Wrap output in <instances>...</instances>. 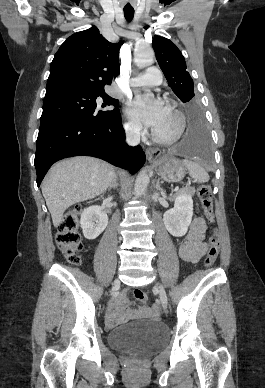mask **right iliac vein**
I'll return each mask as SVG.
<instances>
[{
  "mask_svg": "<svg viewBox=\"0 0 265 388\" xmlns=\"http://www.w3.org/2000/svg\"><path fill=\"white\" fill-rule=\"evenodd\" d=\"M118 284H119V280H118V279H115L114 285L116 286V285H118Z\"/></svg>",
  "mask_w": 265,
  "mask_h": 388,
  "instance_id": "right-iliac-vein-1",
  "label": "right iliac vein"
}]
</instances>
